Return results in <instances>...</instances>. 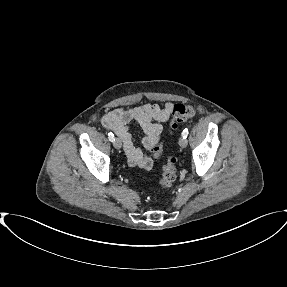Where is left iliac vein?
Here are the masks:
<instances>
[{
  "label": "left iliac vein",
  "instance_id": "4c4485c4",
  "mask_svg": "<svg viewBox=\"0 0 287 287\" xmlns=\"http://www.w3.org/2000/svg\"><path fill=\"white\" fill-rule=\"evenodd\" d=\"M179 145H180L182 148H185V147L187 146V140H186V138H183V136L180 137V139H179Z\"/></svg>",
  "mask_w": 287,
  "mask_h": 287
}]
</instances>
